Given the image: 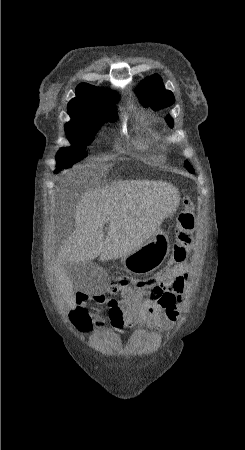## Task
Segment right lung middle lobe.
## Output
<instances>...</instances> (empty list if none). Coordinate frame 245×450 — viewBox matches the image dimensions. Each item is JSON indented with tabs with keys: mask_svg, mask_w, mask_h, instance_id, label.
I'll use <instances>...</instances> for the list:
<instances>
[{
	"mask_svg": "<svg viewBox=\"0 0 245 450\" xmlns=\"http://www.w3.org/2000/svg\"><path fill=\"white\" fill-rule=\"evenodd\" d=\"M114 107L97 105L78 112L75 116H70L71 120L65 124V133L72 146L69 149L58 152L56 161L58 172L61 168H69L87 156L86 145L91 142L93 135L105 122L117 115L110 114Z\"/></svg>",
	"mask_w": 245,
	"mask_h": 450,
	"instance_id": "obj_1",
	"label": "right lung middle lobe"
}]
</instances>
